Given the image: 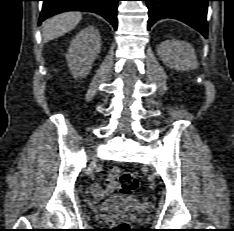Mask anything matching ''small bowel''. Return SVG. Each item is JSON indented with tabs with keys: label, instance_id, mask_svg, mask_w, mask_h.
I'll use <instances>...</instances> for the list:
<instances>
[{
	"label": "small bowel",
	"instance_id": "obj_1",
	"mask_svg": "<svg viewBox=\"0 0 234 231\" xmlns=\"http://www.w3.org/2000/svg\"><path fill=\"white\" fill-rule=\"evenodd\" d=\"M115 170L116 168L109 169L107 180L104 183L95 182L92 184L91 193L95 199H101L117 189L118 186L113 175Z\"/></svg>",
	"mask_w": 234,
	"mask_h": 231
}]
</instances>
